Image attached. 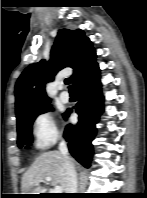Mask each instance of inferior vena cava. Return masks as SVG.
I'll list each match as a JSON object with an SVG mask.
<instances>
[{
	"mask_svg": "<svg viewBox=\"0 0 147 198\" xmlns=\"http://www.w3.org/2000/svg\"><path fill=\"white\" fill-rule=\"evenodd\" d=\"M59 152L65 161L66 185L65 193H77V173L73 160L68 156L67 144L64 140L59 143Z\"/></svg>",
	"mask_w": 147,
	"mask_h": 198,
	"instance_id": "1",
	"label": "inferior vena cava"
}]
</instances>
